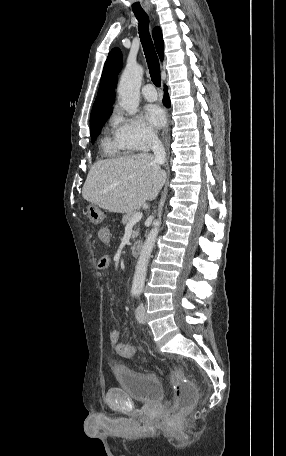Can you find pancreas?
<instances>
[{
	"label": "pancreas",
	"instance_id": "cf45deb5",
	"mask_svg": "<svg viewBox=\"0 0 286 456\" xmlns=\"http://www.w3.org/2000/svg\"><path fill=\"white\" fill-rule=\"evenodd\" d=\"M134 214H135V212L132 211V212H129V213H127L126 215H124L123 218H122V223H123V225L128 224V223L130 222V220H131V218L133 217ZM138 234H139V230L134 231V232H133V235H132V238L134 239L135 237L138 236Z\"/></svg>",
	"mask_w": 286,
	"mask_h": 456
}]
</instances>
